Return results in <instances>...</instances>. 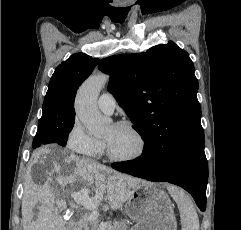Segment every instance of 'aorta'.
Here are the masks:
<instances>
[{
	"label": "aorta",
	"mask_w": 241,
	"mask_h": 230,
	"mask_svg": "<svg viewBox=\"0 0 241 230\" xmlns=\"http://www.w3.org/2000/svg\"><path fill=\"white\" fill-rule=\"evenodd\" d=\"M109 76L103 73L90 76L79 88L75 99L77 118L88 134L99 137L105 134L111 119L103 116L97 106L100 91L108 83Z\"/></svg>",
	"instance_id": "aorta-1"
}]
</instances>
